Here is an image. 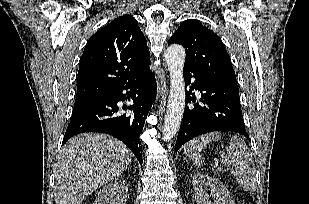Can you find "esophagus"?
Returning a JSON list of instances; mask_svg holds the SVG:
<instances>
[{
	"label": "esophagus",
	"instance_id": "obj_1",
	"mask_svg": "<svg viewBox=\"0 0 309 204\" xmlns=\"http://www.w3.org/2000/svg\"><path fill=\"white\" fill-rule=\"evenodd\" d=\"M161 89H162V87H161V85H160V83H159V81H158V92H157V99L160 97V94H161Z\"/></svg>",
	"mask_w": 309,
	"mask_h": 204
}]
</instances>
